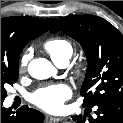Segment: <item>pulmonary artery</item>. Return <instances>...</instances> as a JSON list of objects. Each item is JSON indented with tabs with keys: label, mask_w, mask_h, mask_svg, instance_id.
<instances>
[{
	"label": "pulmonary artery",
	"mask_w": 123,
	"mask_h": 123,
	"mask_svg": "<svg viewBox=\"0 0 123 123\" xmlns=\"http://www.w3.org/2000/svg\"><path fill=\"white\" fill-rule=\"evenodd\" d=\"M67 64H68V62L64 61V62L59 63L58 66H60L61 68H64L67 66Z\"/></svg>",
	"instance_id": "pulmonary-artery-1"
}]
</instances>
